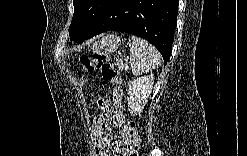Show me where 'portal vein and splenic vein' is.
I'll list each match as a JSON object with an SVG mask.
<instances>
[{"label": "portal vein and splenic vein", "instance_id": "obj_1", "mask_svg": "<svg viewBox=\"0 0 247 156\" xmlns=\"http://www.w3.org/2000/svg\"><path fill=\"white\" fill-rule=\"evenodd\" d=\"M125 69H128V66L127 65L125 66Z\"/></svg>", "mask_w": 247, "mask_h": 156}]
</instances>
